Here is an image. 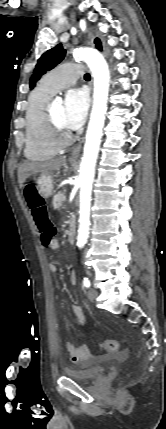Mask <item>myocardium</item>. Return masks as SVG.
Segmentation results:
<instances>
[{
  "mask_svg": "<svg viewBox=\"0 0 166 429\" xmlns=\"http://www.w3.org/2000/svg\"><path fill=\"white\" fill-rule=\"evenodd\" d=\"M45 118L48 137L51 144L56 148H63L68 146L71 143L73 136L71 132H63L58 128L52 117L49 107H46Z\"/></svg>",
  "mask_w": 166,
  "mask_h": 429,
  "instance_id": "myocardium-1",
  "label": "myocardium"
}]
</instances>
